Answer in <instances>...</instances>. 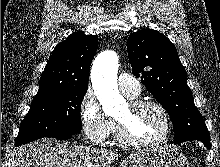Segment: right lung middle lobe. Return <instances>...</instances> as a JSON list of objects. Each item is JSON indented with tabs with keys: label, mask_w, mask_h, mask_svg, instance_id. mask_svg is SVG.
I'll list each match as a JSON object with an SVG mask.
<instances>
[{
	"label": "right lung middle lobe",
	"mask_w": 220,
	"mask_h": 167,
	"mask_svg": "<svg viewBox=\"0 0 220 167\" xmlns=\"http://www.w3.org/2000/svg\"><path fill=\"white\" fill-rule=\"evenodd\" d=\"M87 88H67L32 101L15 146L43 137L55 138L81 131L80 108Z\"/></svg>",
	"instance_id": "1"
}]
</instances>
